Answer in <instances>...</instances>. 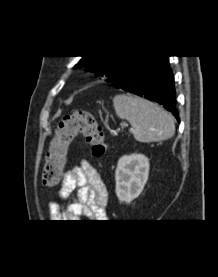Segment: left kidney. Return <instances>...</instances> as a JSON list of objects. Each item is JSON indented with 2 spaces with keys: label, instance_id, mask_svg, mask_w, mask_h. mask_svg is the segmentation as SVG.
Segmentation results:
<instances>
[{
  "label": "left kidney",
  "instance_id": "left-kidney-1",
  "mask_svg": "<svg viewBox=\"0 0 218 277\" xmlns=\"http://www.w3.org/2000/svg\"><path fill=\"white\" fill-rule=\"evenodd\" d=\"M149 175V159L142 154L122 156L115 171L116 195L130 203L142 192Z\"/></svg>",
  "mask_w": 218,
  "mask_h": 277
}]
</instances>
